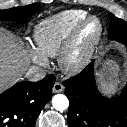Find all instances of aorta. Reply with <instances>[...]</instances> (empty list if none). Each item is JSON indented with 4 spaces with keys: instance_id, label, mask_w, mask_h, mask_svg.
I'll use <instances>...</instances> for the list:
<instances>
[{
    "instance_id": "762f6f07",
    "label": "aorta",
    "mask_w": 127,
    "mask_h": 127,
    "mask_svg": "<svg viewBox=\"0 0 127 127\" xmlns=\"http://www.w3.org/2000/svg\"><path fill=\"white\" fill-rule=\"evenodd\" d=\"M52 105L57 111H63L69 107V100L65 95L57 94L52 99Z\"/></svg>"
}]
</instances>
